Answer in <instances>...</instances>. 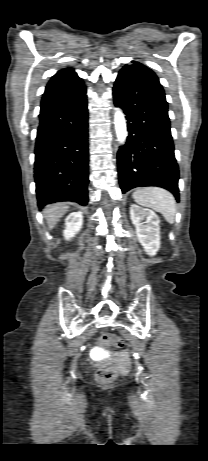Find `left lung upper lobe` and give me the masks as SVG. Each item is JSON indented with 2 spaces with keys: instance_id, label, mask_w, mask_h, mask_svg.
<instances>
[{
  "instance_id": "obj_1",
  "label": "left lung upper lobe",
  "mask_w": 208,
  "mask_h": 461,
  "mask_svg": "<svg viewBox=\"0 0 208 461\" xmlns=\"http://www.w3.org/2000/svg\"><path fill=\"white\" fill-rule=\"evenodd\" d=\"M121 71H130L136 74H140L143 77L160 84L159 79L157 75L154 73V71H152L150 68L146 67L140 62L132 61L131 64L125 65L121 69Z\"/></svg>"
}]
</instances>
